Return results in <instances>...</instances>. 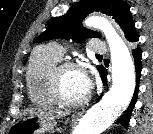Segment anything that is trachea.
I'll list each match as a JSON object with an SVG mask.
<instances>
[{
	"label": "trachea",
	"instance_id": "obj_1",
	"mask_svg": "<svg viewBox=\"0 0 153 134\" xmlns=\"http://www.w3.org/2000/svg\"><path fill=\"white\" fill-rule=\"evenodd\" d=\"M98 57H102L101 55H97Z\"/></svg>",
	"mask_w": 153,
	"mask_h": 134
}]
</instances>
